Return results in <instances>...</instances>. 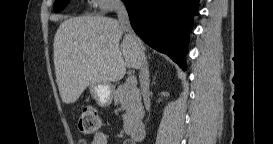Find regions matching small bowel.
I'll return each instance as SVG.
<instances>
[{
  "label": "small bowel",
  "mask_w": 273,
  "mask_h": 144,
  "mask_svg": "<svg viewBox=\"0 0 273 144\" xmlns=\"http://www.w3.org/2000/svg\"><path fill=\"white\" fill-rule=\"evenodd\" d=\"M109 138L105 133L99 132L94 135L93 141L91 144H108ZM78 144H88L85 139L79 140Z\"/></svg>",
  "instance_id": "obj_1"
}]
</instances>
